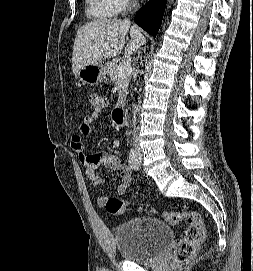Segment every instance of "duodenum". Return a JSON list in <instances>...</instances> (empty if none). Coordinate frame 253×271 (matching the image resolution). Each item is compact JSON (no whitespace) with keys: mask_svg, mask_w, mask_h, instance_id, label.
<instances>
[{"mask_svg":"<svg viewBox=\"0 0 253 271\" xmlns=\"http://www.w3.org/2000/svg\"><path fill=\"white\" fill-rule=\"evenodd\" d=\"M113 121L116 126H124L126 122V110L124 107H118L114 110L112 115Z\"/></svg>","mask_w":253,"mask_h":271,"instance_id":"410a0bca","label":"duodenum"}]
</instances>
